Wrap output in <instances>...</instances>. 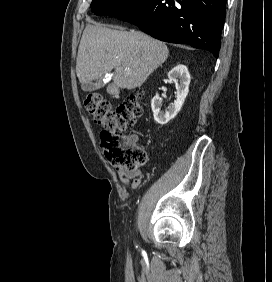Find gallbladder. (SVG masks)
<instances>
[{"instance_id": "1", "label": "gallbladder", "mask_w": 272, "mask_h": 282, "mask_svg": "<svg viewBox=\"0 0 272 282\" xmlns=\"http://www.w3.org/2000/svg\"><path fill=\"white\" fill-rule=\"evenodd\" d=\"M104 86V82L99 79L96 83H87V84H83L82 85V89L84 91H94V90H97V89H100Z\"/></svg>"}]
</instances>
